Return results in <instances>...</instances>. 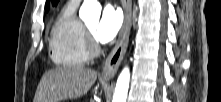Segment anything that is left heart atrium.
<instances>
[{"label": "left heart atrium", "instance_id": "obj_1", "mask_svg": "<svg viewBox=\"0 0 221 102\" xmlns=\"http://www.w3.org/2000/svg\"><path fill=\"white\" fill-rule=\"evenodd\" d=\"M123 24V14L115 6L107 5L102 12L101 19L96 27L95 35L101 43L111 41L119 32Z\"/></svg>", "mask_w": 221, "mask_h": 102}]
</instances>
